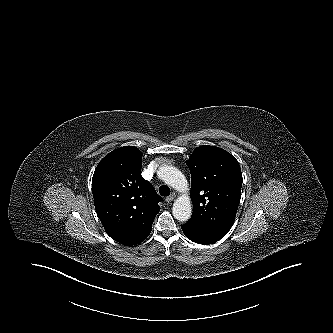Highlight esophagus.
Listing matches in <instances>:
<instances>
[{
	"label": "esophagus",
	"instance_id": "34e87169",
	"mask_svg": "<svg viewBox=\"0 0 333 333\" xmlns=\"http://www.w3.org/2000/svg\"><path fill=\"white\" fill-rule=\"evenodd\" d=\"M176 198V195L174 193H172L171 195H169L165 200L167 203L172 202L174 199Z\"/></svg>",
	"mask_w": 333,
	"mask_h": 333
}]
</instances>
